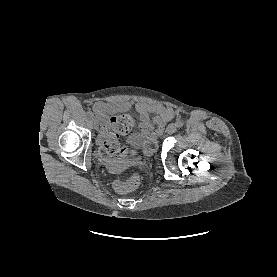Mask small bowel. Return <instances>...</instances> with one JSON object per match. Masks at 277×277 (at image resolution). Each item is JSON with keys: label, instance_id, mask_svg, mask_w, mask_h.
Wrapping results in <instances>:
<instances>
[{"label": "small bowel", "instance_id": "c3829d8e", "mask_svg": "<svg viewBox=\"0 0 277 277\" xmlns=\"http://www.w3.org/2000/svg\"><path fill=\"white\" fill-rule=\"evenodd\" d=\"M110 107L111 106L109 104L103 102H99L94 105V110L96 111L102 122L106 121V113ZM134 107L144 120L148 119L150 113L155 114L156 117L154 119V123L158 127L163 126L168 120H170L174 116V112L172 109L162 105L137 103Z\"/></svg>", "mask_w": 277, "mask_h": 277}]
</instances>
